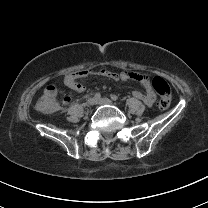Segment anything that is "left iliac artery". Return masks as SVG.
<instances>
[{"instance_id":"1","label":"left iliac artery","mask_w":208,"mask_h":208,"mask_svg":"<svg viewBox=\"0 0 208 208\" xmlns=\"http://www.w3.org/2000/svg\"><path fill=\"white\" fill-rule=\"evenodd\" d=\"M110 97H111V99L114 100V101L118 100V96H116V95H114V94L111 95Z\"/></svg>"}]
</instances>
